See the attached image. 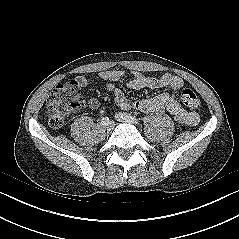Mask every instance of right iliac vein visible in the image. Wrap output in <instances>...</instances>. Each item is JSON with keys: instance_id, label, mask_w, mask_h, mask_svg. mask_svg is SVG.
<instances>
[{"instance_id": "1", "label": "right iliac vein", "mask_w": 239, "mask_h": 239, "mask_svg": "<svg viewBox=\"0 0 239 239\" xmlns=\"http://www.w3.org/2000/svg\"><path fill=\"white\" fill-rule=\"evenodd\" d=\"M104 127L107 129V130H112L114 126H110V125H107L106 123L104 124Z\"/></svg>"}]
</instances>
